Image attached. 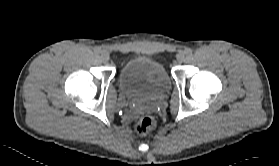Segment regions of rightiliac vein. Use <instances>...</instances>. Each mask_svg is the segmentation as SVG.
Masks as SVG:
<instances>
[{
	"instance_id": "obj_1",
	"label": "right iliac vein",
	"mask_w": 279,
	"mask_h": 166,
	"mask_svg": "<svg viewBox=\"0 0 279 166\" xmlns=\"http://www.w3.org/2000/svg\"><path fill=\"white\" fill-rule=\"evenodd\" d=\"M101 58H102L104 61H109V59H110L109 53L106 52V51H102V52H101Z\"/></svg>"
}]
</instances>
